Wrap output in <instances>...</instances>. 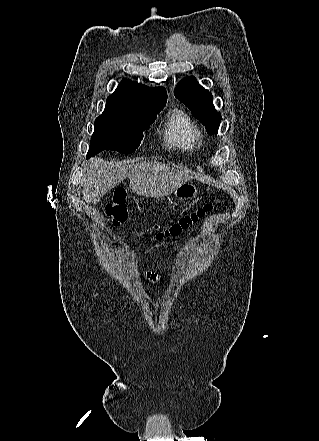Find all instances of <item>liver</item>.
I'll return each instance as SVG.
<instances>
[{"instance_id":"1","label":"liver","mask_w":319,"mask_h":441,"mask_svg":"<svg viewBox=\"0 0 319 441\" xmlns=\"http://www.w3.org/2000/svg\"><path fill=\"white\" fill-rule=\"evenodd\" d=\"M194 173L187 169H175L156 161L132 163L126 166L111 165L99 157L89 161L84 168L82 193L89 204H97L108 190L121 180L130 179L131 190L145 197L160 198L168 196L177 187L193 178Z\"/></svg>"}]
</instances>
